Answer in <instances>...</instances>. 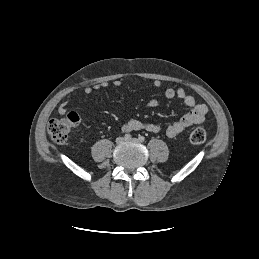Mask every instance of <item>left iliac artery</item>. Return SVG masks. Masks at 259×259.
Returning a JSON list of instances; mask_svg holds the SVG:
<instances>
[{"label":"left iliac artery","instance_id":"left-iliac-artery-1","mask_svg":"<svg viewBox=\"0 0 259 259\" xmlns=\"http://www.w3.org/2000/svg\"><path fill=\"white\" fill-rule=\"evenodd\" d=\"M138 140H139L140 142H144V141H145V137L139 136V137H138Z\"/></svg>","mask_w":259,"mask_h":259}]
</instances>
